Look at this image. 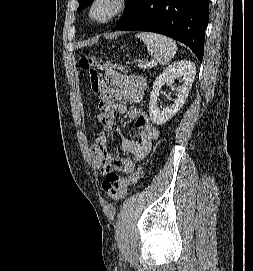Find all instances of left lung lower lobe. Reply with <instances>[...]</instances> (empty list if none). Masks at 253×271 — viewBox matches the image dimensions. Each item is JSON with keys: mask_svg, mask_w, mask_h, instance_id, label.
<instances>
[{"mask_svg": "<svg viewBox=\"0 0 253 271\" xmlns=\"http://www.w3.org/2000/svg\"><path fill=\"white\" fill-rule=\"evenodd\" d=\"M209 0H135L120 31H150L176 39L203 59Z\"/></svg>", "mask_w": 253, "mask_h": 271, "instance_id": "left-lung-lower-lobe-1", "label": "left lung lower lobe"}]
</instances>
